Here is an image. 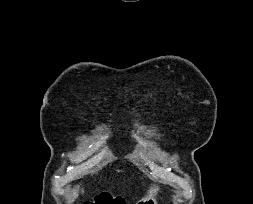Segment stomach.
Segmentation results:
<instances>
[{
  "instance_id": "0dacf381",
  "label": "stomach",
  "mask_w": 253,
  "mask_h": 204,
  "mask_svg": "<svg viewBox=\"0 0 253 204\" xmlns=\"http://www.w3.org/2000/svg\"><path fill=\"white\" fill-rule=\"evenodd\" d=\"M160 189L158 187H151L147 195L140 199L137 204H157L156 196Z\"/></svg>"
}]
</instances>
